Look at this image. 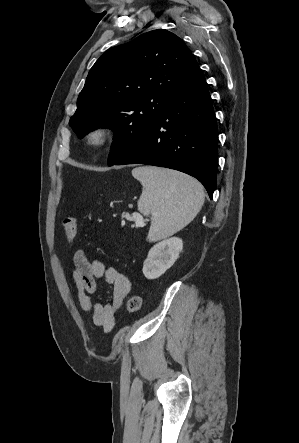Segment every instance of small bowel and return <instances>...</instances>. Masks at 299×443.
Here are the masks:
<instances>
[{"instance_id": "obj_1", "label": "small bowel", "mask_w": 299, "mask_h": 443, "mask_svg": "<svg viewBox=\"0 0 299 443\" xmlns=\"http://www.w3.org/2000/svg\"><path fill=\"white\" fill-rule=\"evenodd\" d=\"M73 280L81 308L96 326L109 332L114 327L117 311L130 293L128 277L117 268L105 267L101 260L90 259L83 250H77L73 257ZM101 280L109 285V302L92 303L91 295L97 292Z\"/></svg>"}]
</instances>
